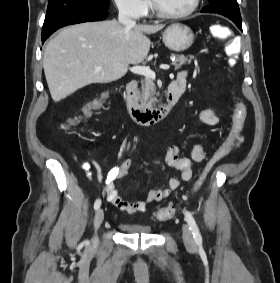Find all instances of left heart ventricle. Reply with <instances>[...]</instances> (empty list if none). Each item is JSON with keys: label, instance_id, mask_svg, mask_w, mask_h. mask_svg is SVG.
Instances as JSON below:
<instances>
[{"label": "left heart ventricle", "instance_id": "left-heart-ventricle-1", "mask_svg": "<svg viewBox=\"0 0 280 283\" xmlns=\"http://www.w3.org/2000/svg\"><path fill=\"white\" fill-rule=\"evenodd\" d=\"M155 2L162 11L177 14L188 10L193 0H155Z\"/></svg>", "mask_w": 280, "mask_h": 283}]
</instances>
